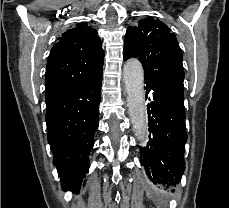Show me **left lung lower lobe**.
Listing matches in <instances>:
<instances>
[{
    "mask_svg": "<svg viewBox=\"0 0 229 208\" xmlns=\"http://www.w3.org/2000/svg\"><path fill=\"white\" fill-rule=\"evenodd\" d=\"M149 141L140 148V163L154 183L176 185L185 169L187 141L184 104L173 101L161 90L145 83Z\"/></svg>",
    "mask_w": 229,
    "mask_h": 208,
    "instance_id": "1",
    "label": "left lung lower lobe"
}]
</instances>
